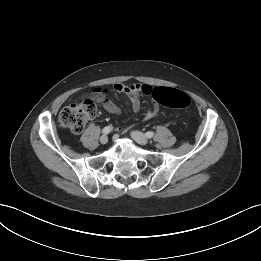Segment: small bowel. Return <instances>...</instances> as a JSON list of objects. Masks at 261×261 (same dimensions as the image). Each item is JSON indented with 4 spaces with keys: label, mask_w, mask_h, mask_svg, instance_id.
Wrapping results in <instances>:
<instances>
[{
    "label": "small bowel",
    "mask_w": 261,
    "mask_h": 261,
    "mask_svg": "<svg viewBox=\"0 0 261 261\" xmlns=\"http://www.w3.org/2000/svg\"><path fill=\"white\" fill-rule=\"evenodd\" d=\"M114 89L117 92L124 93L129 97L130 107L134 113L139 112L141 108L140 96L151 95L153 88L148 84L135 83L126 85L123 83H116ZM103 107L111 114H119L120 108L111 100L104 98L101 101ZM158 108H153L145 114V119H151L158 114Z\"/></svg>",
    "instance_id": "small-bowel-1"
}]
</instances>
